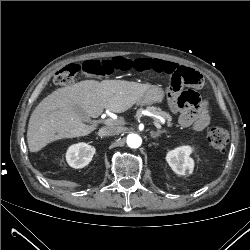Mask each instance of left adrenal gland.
I'll list each match as a JSON object with an SVG mask.
<instances>
[{"label":"left adrenal gland","instance_id":"a2214340","mask_svg":"<svg viewBox=\"0 0 250 250\" xmlns=\"http://www.w3.org/2000/svg\"><path fill=\"white\" fill-rule=\"evenodd\" d=\"M162 133H166V131H164V130H158L157 132H150V135H151V137L153 138V139H155V138H157V137H159L160 136V134H162Z\"/></svg>","mask_w":250,"mask_h":250}]
</instances>
